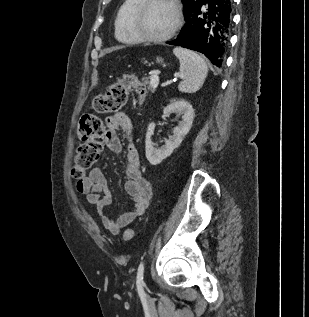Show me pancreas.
Returning <instances> with one entry per match:
<instances>
[{
    "label": "pancreas",
    "instance_id": "obj_1",
    "mask_svg": "<svg viewBox=\"0 0 309 317\" xmlns=\"http://www.w3.org/2000/svg\"><path fill=\"white\" fill-rule=\"evenodd\" d=\"M151 77H152V76H150V77H144V78L142 79V81H143L145 84L148 85V89H149V90L153 91V90L155 89V87L151 84Z\"/></svg>",
    "mask_w": 309,
    "mask_h": 317
}]
</instances>
